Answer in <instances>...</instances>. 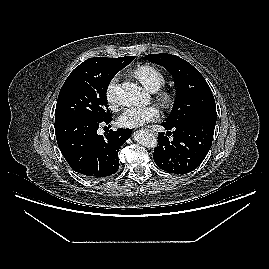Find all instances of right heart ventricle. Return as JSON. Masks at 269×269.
Instances as JSON below:
<instances>
[{
	"label": "right heart ventricle",
	"mask_w": 269,
	"mask_h": 269,
	"mask_svg": "<svg viewBox=\"0 0 269 269\" xmlns=\"http://www.w3.org/2000/svg\"><path fill=\"white\" fill-rule=\"evenodd\" d=\"M135 77L151 92L158 91L165 83L161 71L151 65H143L134 71Z\"/></svg>",
	"instance_id": "1"
}]
</instances>
